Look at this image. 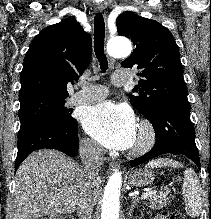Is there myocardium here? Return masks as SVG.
<instances>
[{
  "label": "myocardium",
  "instance_id": "1",
  "mask_svg": "<svg viewBox=\"0 0 211 219\" xmlns=\"http://www.w3.org/2000/svg\"><path fill=\"white\" fill-rule=\"evenodd\" d=\"M156 132L151 123L143 121L139 126V134L131 151L133 156H141L147 153L155 144Z\"/></svg>",
  "mask_w": 211,
  "mask_h": 219
}]
</instances>
